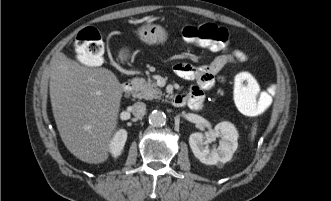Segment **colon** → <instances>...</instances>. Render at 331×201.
Segmentation results:
<instances>
[{
  "label": "colon",
  "mask_w": 331,
  "mask_h": 201,
  "mask_svg": "<svg viewBox=\"0 0 331 201\" xmlns=\"http://www.w3.org/2000/svg\"><path fill=\"white\" fill-rule=\"evenodd\" d=\"M182 36L189 43H195L213 51H222L229 43L228 30L213 23L186 26ZM75 47L81 63L87 66H98L103 62L104 43L95 28L83 29L76 37ZM233 95L236 106L241 112L248 116H257L270 107L275 89L271 87L268 90H262L254 76L240 72L234 80Z\"/></svg>",
  "instance_id": "colon-1"
}]
</instances>
